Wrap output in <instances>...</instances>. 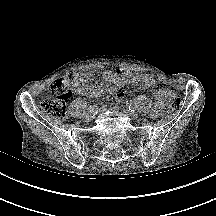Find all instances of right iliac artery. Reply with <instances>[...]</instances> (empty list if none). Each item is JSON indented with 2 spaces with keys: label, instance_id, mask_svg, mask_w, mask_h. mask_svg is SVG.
I'll use <instances>...</instances> for the list:
<instances>
[{
  "label": "right iliac artery",
  "instance_id": "82829eb1",
  "mask_svg": "<svg viewBox=\"0 0 216 216\" xmlns=\"http://www.w3.org/2000/svg\"><path fill=\"white\" fill-rule=\"evenodd\" d=\"M89 111L93 112L94 114L96 113L97 114V110H98V106L97 104L95 105H92L88 108Z\"/></svg>",
  "mask_w": 216,
  "mask_h": 216
}]
</instances>
